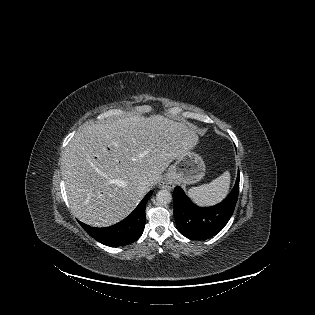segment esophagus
Listing matches in <instances>:
<instances>
[{"mask_svg":"<svg viewBox=\"0 0 315 315\" xmlns=\"http://www.w3.org/2000/svg\"><path fill=\"white\" fill-rule=\"evenodd\" d=\"M159 186L163 189H169L171 190L173 187H174V184L172 183V181L170 180H162L160 183H159Z\"/></svg>","mask_w":315,"mask_h":315,"instance_id":"esophagus-1","label":"esophagus"}]
</instances>
